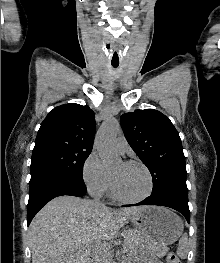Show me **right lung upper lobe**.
I'll use <instances>...</instances> for the list:
<instances>
[{
  "mask_svg": "<svg viewBox=\"0 0 220 263\" xmlns=\"http://www.w3.org/2000/svg\"><path fill=\"white\" fill-rule=\"evenodd\" d=\"M95 125V114L89 106L75 103L58 106L42 122L33 152L49 148L91 150Z\"/></svg>",
  "mask_w": 220,
  "mask_h": 263,
  "instance_id": "1",
  "label": "right lung upper lobe"
}]
</instances>
